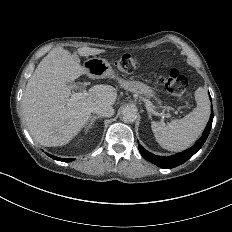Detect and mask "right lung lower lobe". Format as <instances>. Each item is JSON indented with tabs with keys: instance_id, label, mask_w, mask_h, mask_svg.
Returning <instances> with one entry per match:
<instances>
[{
	"instance_id": "1",
	"label": "right lung lower lobe",
	"mask_w": 232,
	"mask_h": 232,
	"mask_svg": "<svg viewBox=\"0 0 232 232\" xmlns=\"http://www.w3.org/2000/svg\"><path fill=\"white\" fill-rule=\"evenodd\" d=\"M46 154L49 155L51 158L56 159V160H58V161L71 162L72 160H74V159H67V158H66V159H64V158H59V157L50 155V154H48V153H46Z\"/></svg>"
}]
</instances>
